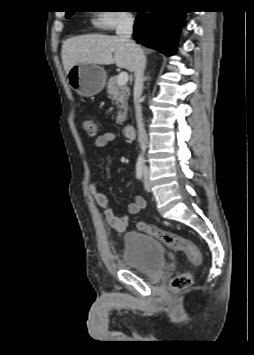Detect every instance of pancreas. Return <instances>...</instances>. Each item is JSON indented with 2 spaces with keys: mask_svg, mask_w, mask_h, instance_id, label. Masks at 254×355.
Returning <instances> with one entry per match:
<instances>
[{
  "mask_svg": "<svg viewBox=\"0 0 254 355\" xmlns=\"http://www.w3.org/2000/svg\"><path fill=\"white\" fill-rule=\"evenodd\" d=\"M107 93L109 97L116 101L119 108L116 123L122 124L126 120L128 110L129 88L126 85L117 84V76L110 77L107 83Z\"/></svg>",
  "mask_w": 254,
  "mask_h": 355,
  "instance_id": "pancreas-1",
  "label": "pancreas"
}]
</instances>
